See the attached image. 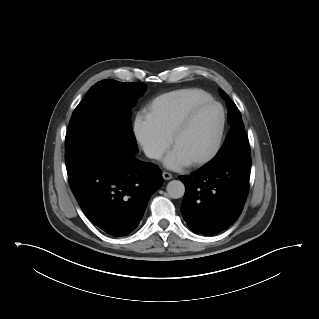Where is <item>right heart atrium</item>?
<instances>
[{"label":"right heart atrium","mask_w":319,"mask_h":319,"mask_svg":"<svg viewBox=\"0 0 319 319\" xmlns=\"http://www.w3.org/2000/svg\"><path fill=\"white\" fill-rule=\"evenodd\" d=\"M134 135L144 153L150 159L158 160L168 148L169 142L143 113H138L133 122Z\"/></svg>","instance_id":"1"}]
</instances>
